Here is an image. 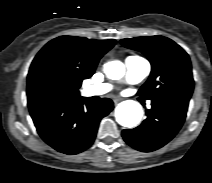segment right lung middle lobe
<instances>
[{
	"label": "right lung middle lobe",
	"mask_w": 212,
	"mask_h": 183,
	"mask_svg": "<svg viewBox=\"0 0 212 183\" xmlns=\"http://www.w3.org/2000/svg\"><path fill=\"white\" fill-rule=\"evenodd\" d=\"M44 88L53 93L59 94L63 88V82L56 77H48L43 82Z\"/></svg>",
	"instance_id": "right-lung-middle-lobe-1"
}]
</instances>
